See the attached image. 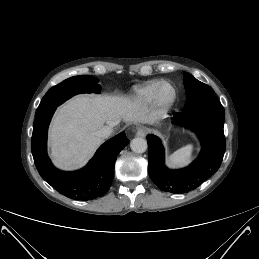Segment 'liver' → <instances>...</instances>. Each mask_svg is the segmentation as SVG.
Wrapping results in <instances>:
<instances>
[{
	"label": "liver",
	"mask_w": 259,
	"mask_h": 259,
	"mask_svg": "<svg viewBox=\"0 0 259 259\" xmlns=\"http://www.w3.org/2000/svg\"><path fill=\"white\" fill-rule=\"evenodd\" d=\"M165 116L151 111L137 99L123 96L78 95L56 112L49 129L53 163L60 169L80 168L103 142L94 133L107 125L126 123L155 125Z\"/></svg>",
	"instance_id": "6515ba94"
}]
</instances>
